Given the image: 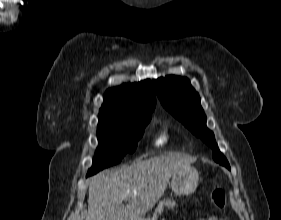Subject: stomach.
Here are the masks:
<instances>
[{"label": "stomach", "instance_id": "stomach-1", "mask_svg": "<svg viewBox=\"0 0 281 220\" xmlns=\"http://www.w3.org/2000/svg\"><path fill=\"white\" fill-rule=\"evenodd\" d=\"M198 182L199 174L195 168H183L172 175L171 188L177 195H189L196 190Z\"/></svg>", "mask_w": 281, "mask_h": 220}]
</instances>
